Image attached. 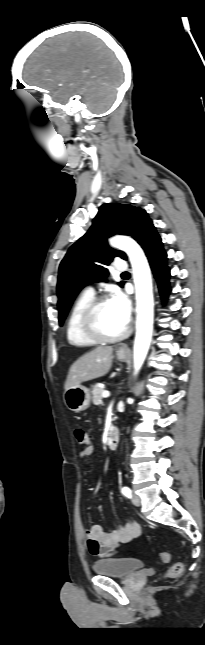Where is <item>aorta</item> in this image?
I'll use <instances>...</instances> for the list:
<instances>
[{
    "mask_svg": "<svg viewBox=\"0 0 205 645\" xmlns=\"http://www.w3.org/2000/svg\"><path fill=\"white\" fill-rule=\"evenodd\" d=\"M110 245L127 253L132 265L136 288V336L134 342V368L137 373L147 356L153 331V292L151 271L140 246L131 238L116 236Z\"/></svg>",
    "mask_w": 205,
    "mask_h": 645,
    "instance_id": "1",
    "label": "aorta"
}]
</instances>
